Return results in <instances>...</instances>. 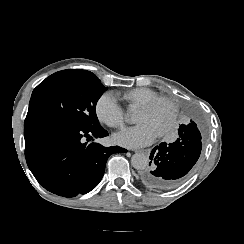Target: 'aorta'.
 <instances>
[{
  "instance_id": "762f6f07",
  "label": "aorta",
  "mask_w": 244,
  "mask_h": 244,
  "mask_svg": "<svg viewBox=\"0 0 244 244\" xmlns=\"http://www.w3.org/2000/svg\"><path fill=\"white\" fill-rule=\"evenodd\" d=\"M149 164V158L143 153H136L131 157V165L137 170L145 169Z\"/></svg>"
}]
</instances>
